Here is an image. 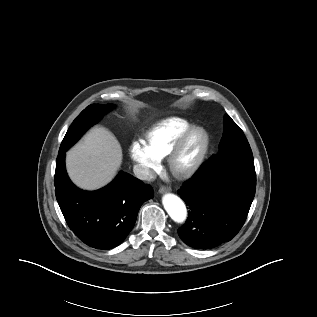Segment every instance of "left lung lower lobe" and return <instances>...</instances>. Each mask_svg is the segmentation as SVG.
<instances>
[{"instance_id":"1","label":"left lung lower lobe","mask_w":317,"mask_h":317,"mask_svg":"<svg viewBox=\"0 0 317 317\" xmlns=\"http://www.w3.org/2000/svg\"><path fill=\"white\" fill-rule=\"evenodd\" d=\"M256 190L253 159L213 155L178 190L191 209L178 234L196 249L214 248L232 240L242 228Z\"/></svg>"}]
</instances>
